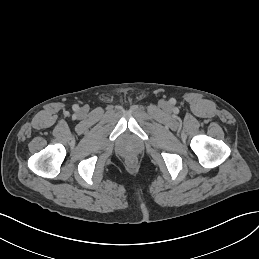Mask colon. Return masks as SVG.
<instances>
[{
  "label": "colon",
  "instance_id": "colon-1",
  "mask_svg": "<svg viewBox=\"0 0 259 259\" xmlns=\"http://www.w3.org/2000/svg\"><path fill=\"white\" fill-rule=\"evenodd\" d=\"M127 161H128L129 164H133V163H135V158L129 157Z\"/></svg>",
  "mask_w": 259,
  "mask_h": 259
}]
</instances>
